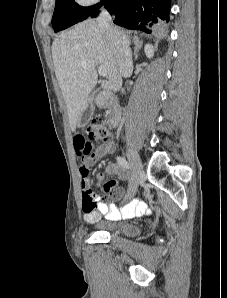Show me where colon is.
Masks as SVG:
<instances>
[{"label":"colon","instance_id":"obj_1","mask_svg":"<svg viewBox=\"0 0 227 298\" xmlns=\"http://www.w3.org/2000/svg\"><path fill=\"white\" fill-rule=\"evenodd\" d=\"M87 139L85 142L92 141H110L111 133L107 125L99 119H94L86 128ZM75 139V138H74ZM83 159V158H82ZM115 185L114 180H109L104 184V189L109 191Z\"/></svg>","mask_w":227,"mask_h":298}]
</instances>
